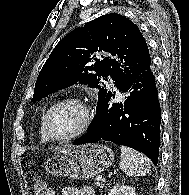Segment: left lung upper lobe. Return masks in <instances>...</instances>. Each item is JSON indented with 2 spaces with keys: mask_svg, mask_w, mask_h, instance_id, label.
<instances>
[{
  "mask_svg": "<svg viewBox=\"0 0 189 195\" xmlns=\"http://www.w3.org/2000/svg\"><path fill=\"white\" fill-rule=\"evenodd\" d=\"M150 62L138 26L120 14H106L74 29L56 45L38 75L31 101L79 82L100 89L97 112L113 94L98 86L99 81L113 80L118 88Z\"/></svg>",
  "mask_w": 189,
  "mask_h": 195,
  "instance_id": "5c2ea615",
  "label": "left lung upper lobe"
}]
</instances>
